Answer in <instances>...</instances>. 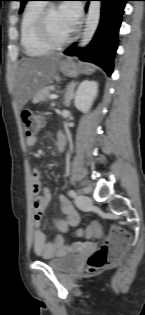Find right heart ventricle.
<instances>
[{"mask_svg": "<svg viewBox=\"0 0 145 315\" xmlns=\"http://www.w3.org/2000/svg\"><path fill=\"white\" fill-rule=\"evenodd\" d=\"M45 7L40 0H32L25 8L20 25V41L25 53L29 56L48 54L51 48L44 44L35 30L36 20Z\"/></svg>", "mask_w": 145, "mask_h": 315, "instance_id": "1", "label": "right heart ventricle"}]
</instances>
